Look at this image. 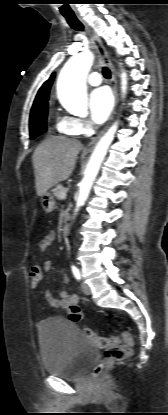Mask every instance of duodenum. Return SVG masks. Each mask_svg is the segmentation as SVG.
<instances>
[{
    "label": "duodenum",
    "mask_w": 168,
    "mask_h": 415,
    "mask_svg": "<svg viewBox=\"0 0 168 415\" xmlns=\"http://www.w3.org/2000/svg\"><path fill=\"white\" fill-rule=\"evenodd\" d=\"M70 230V224L68 222H66L64 224V226L62 227V234L66 235Z\"/></svg>",
    "instance_id": "1"
}]
</instances>
